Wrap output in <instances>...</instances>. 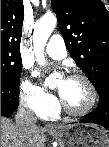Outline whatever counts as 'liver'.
<instances>
[{
	"mask_svg": "<svg viewBox=\"0 0 109 147\" xmlns=\"http://www.w3.org/2000/svg\"><path fill=\"white\" fill-rule=\"evenodd\" d=\"M66 126L58 125L57 128H65ZM45 140L43 128L37 127L31 142L26 143L16 125L8 118H1V147H43Z\"/></svg>",
	"mask_w": 109,
	"mask_h": 147,
	"instance_id": "6515ba94",
	"label": "liver"
}]
</instances>
